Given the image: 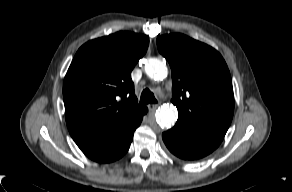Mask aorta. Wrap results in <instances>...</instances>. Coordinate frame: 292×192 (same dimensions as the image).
<instances>
[{
    "label": "aorta",
    "instance_id": "1",
    "mask_svg": "<svg viewBox=\"0 0 292 192\" xmlns=\"http://www.w3.org/2000/svg\"><path fill=\"white\" fill-rule=\"evenodd\" d=\"M146 74L154 80H163L168 69L166 64L158 58H149L145 64ZM156 122L163 128H169L176 122L178 112L174 106H163L156 112Z\"/></svg>",
    "mask_w": 292,
    "mask_h": 192
}]
</instances>
